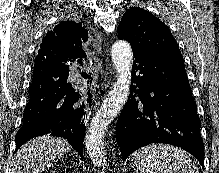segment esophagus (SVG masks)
<instances>
[{"mask_svg":"<svg viewBox=\"0 0 219 173\" xmlns=\"http://www.w3.org/2000/svg\"><path fill=\"white\" fill-rule=\"evenodd\" d=\"M94 47L97 50L98 54L101 53V35L100 34L96 36Z\"/></svg>","mask_w":219,"mask_h":173,"instance_id":"esophagus-1","label":"esophagus"}]
</instances>
